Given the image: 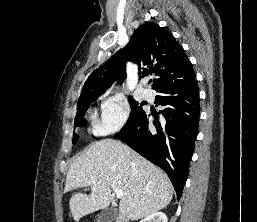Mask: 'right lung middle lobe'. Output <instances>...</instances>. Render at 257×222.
<instances>
[{
    "label": "right lung middle lobe",
    "mask_w": 257,
    "mask_h": 222,
    "mask_svg": "<svg viewBox=\"0 0 257 222\" xmlns=\"http://www.w3.org/2000/svg\"><path fill=\"white\" fill-rule=\"evenodd\" d=\"M98 97L99 96L86 98L77 105V113L75 116L74 128H76L77 126L83 125L84 115H85L86 110L89 108L90 104L94 100H96ZM129 102L131 105V114H130V117H129L127 123L122 128V130L131 126L136 121V119L144 112V110L142 109L143 103H139L131 97L129 98ZM78 138H79L78 134L74 133L73 134V144L77 142Z\"/></svg>",
    "instance_id": "1"
}]
</instances>
